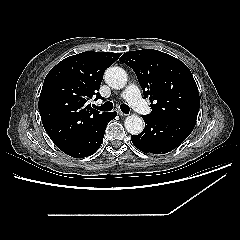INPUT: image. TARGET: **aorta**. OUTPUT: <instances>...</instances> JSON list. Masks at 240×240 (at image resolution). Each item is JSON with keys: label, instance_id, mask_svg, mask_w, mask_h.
<instances>
[{"label": "aorta", "instance_id": "obj_1", "mask_svg": "<svg viewBox=\"0 0 240 240\" xmlns=\"http://www.w3.org/2000/svg\"><path fill=\"white\" fill-rule=\"evenodd\" d=\"M106 83L114 89H122L127 83L126 71L120 67H110L105 71ZM125 128L132 135H138L143 131L144 121L137 115H130L125 119Z\"/></svg>", "mask_w": 240, "mask_h": 240}]
</instances>
